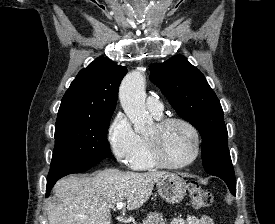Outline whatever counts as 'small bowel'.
<instances>
[{
	"label": "small bowel",
	"instance_id": "c3829d8e",
	"mask_svg": "<svg viewBox=\"0 0 275 224\" xmlns=\"http://www.w3.org/2000/svg\"><path fill=\"white\" fill-rule=\"evenodd\" d=\"M170 224H214L211 217L202 215L200 217L194 215L177 216Z\"/></svg>",
	"mask_w": 275,
	"mask_h": 224
}]
</instances>
